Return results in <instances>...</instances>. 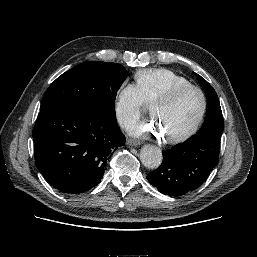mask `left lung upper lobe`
Masks as SVG:
<instances>
[{"label":"left lung upper lobe","instance_id":"obj_1","mask_svg":"<svg viewBox=\"0 0 257 257\" xmlns=\"http://www.w3.org/2000/svg\"><path fill=\"white\" fill-rule=\"evenodd\" d=\"M197 78L207 98L206 117L201 129L189 139L196 140L205 137L221 139L224 122L218 96L213 87L204 78L198 74Z\"/></svg>","mask_w":257,"mask_h":257}]
</instances>
